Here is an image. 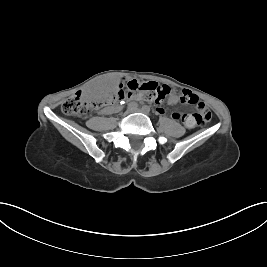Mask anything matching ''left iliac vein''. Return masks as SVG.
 Segmentation results:
<instances>
[{
	"instance_id": "left-iliac-vein-1",
	"label": "left iliac vein",
	"mask_w": 267,
	"mask_h": 267,
	"mask_svg": "<svg viewBox=\"0 0 267 267\" xmlns=\"http://www.w3.org/2000/svg\"><path fill=\"white\" fill-rule=\"evenodd\" d=\"M137 111H138V112H141V113H143V114H146V115L149 114V111L145 110L144 108L138 109Z\"/></svg>"
}]
</instances>
